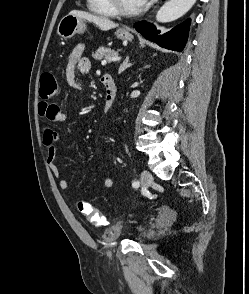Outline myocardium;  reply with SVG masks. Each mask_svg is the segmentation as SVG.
<instances>
[{
    "label": "myocardium",
    "mask_w": 249,
    "mask_h": 294,
    "mask_svg": "<svg viewBox=\"0 0 249 294\" xmlns=\"http://www.w3.org/2000/svg\"><path fill=\"white\" fill-rule=\"evenodd\" d=\"M111 7L114 9L116 14L122 16H134L142 12L143 8L129 10L123 7L120 0H108Z\"/></svg>",
    "instance_id": "obj_1"
}]
</instances>
